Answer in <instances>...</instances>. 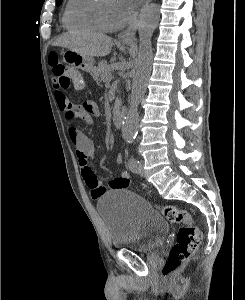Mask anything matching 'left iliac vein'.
Returning a JSON list of instances; mask_svg holds the SVG:
<instances>
[{
  "label": "left iliac vein",
  "mask_w": 245,
  "mask_h": 300,
  "mask_svg": "<svg viewBox=\"0 0 245 300\" xmlns=\"http://www.w3.org/2000/svg\"><path fill=\"white\" fill-rule=\"evenodd\" d=\"M139 163H140V166H141V170H140L139 173H140L141 175H143V174H144V170H143V167H144V160H140Z\"/></svg>",
  "instance_id": "1"
}]
</instances>
